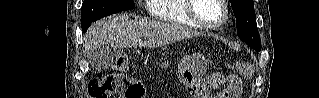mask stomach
Listing matches in <instances>:
<instances>
[{"label": "stomach", "instance_id": "obj_1", "mask_svg": "<svg viewBox=\"0 0 319 98\" xmlns=\"http://www.w3.org/2000/svg\"><path fill=\"white\" fill-rule=\"evenodd\" d=\"M206 71V63L200 55L196 56L192 62L183 67L179 72V78L185 85L192 98H204L205 92L203 75Z\"/></svg>", "mask_w": 319, "mask_h": 98}]
</instances>
